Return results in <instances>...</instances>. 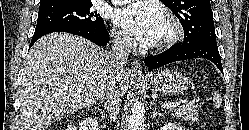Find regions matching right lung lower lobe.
<instances>
[{
    "instance_id": "right-lung-lower-lobe-1",
    "label": "right lung lower lobe",
    "mask_w": 249,
    "mask_h": 130,
    "mask_svg": "<svg viewBox=\"0 0 249 130\" xmlns=\"http://www.w3.org/2000/svg\"><path fill=\"white\" fill-rule=\"evenodd\" d=\"M52 32H67L79 35L94 42L98 46H106L107 43L109 42V33L105 27L102 29H90L81 26H66V27H59V28L46 30L43 32H35L29 47H31L42 36Z\"/></svg>"
}]
</instances>
